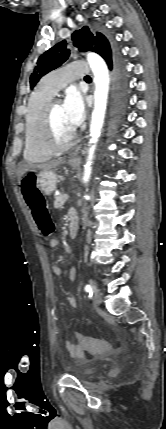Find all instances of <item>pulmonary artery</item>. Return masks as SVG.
Masks as SVG:
<instances>
[{"mask_svg":"<svg viewBox=\"0 0 166 429\" xmlns=\"http://www.w3.org/2000/svg\"><path fill=\"white\" fill-rule=\"evenodd\" d=\"M89 73V65L84 61H74L47 75L40 83V87L55 95L73 79H81Z\"/></svg>","mask_w":166,"mask_h":429,"instance_id":"1","label":"pulmonary artery"}]
</instances>
